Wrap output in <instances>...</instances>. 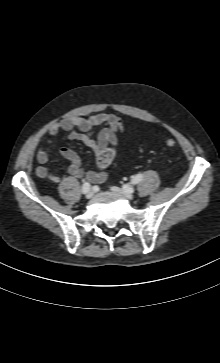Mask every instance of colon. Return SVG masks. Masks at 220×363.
Wrapping results in <instances>:
<instances>
[{"mask_svg":"<svg viewBox=\"0 0 220 363\" xmlns=\"http://www.w3.org/2000/svg\"><path fill=\"white\" fill-rule=\"evenodd\" d=\"M166 146L169 149H174L176 147V141L173 138H167L165 141ZM115 150L113 148H108L105 154V163L109 164L115 157Z\"/></svg>","mask_w":220,"mask_h":363,"instance_id":"obj_1","label":"colon"}]
</instances>
